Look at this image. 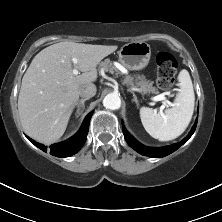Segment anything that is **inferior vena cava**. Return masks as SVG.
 I'll use <instances>...</instances> for the list:
<instances>
[{
	"mask_svg": "<svg viewBox=\"0 0 222 222\" xmlns=\"http://www.w3.org/2000/svg\"><path fill=\"white\" fill-rule=\"evenodd\" d=\"M96 94V86L93 83L86 84L79 89V95L82 98H91Z\"/></svg>",
	"mask_w": 222,
	"mask_h": 222,
	"instance_id": "1",
	"label": "inferior vena cava"
}]
</instances>
